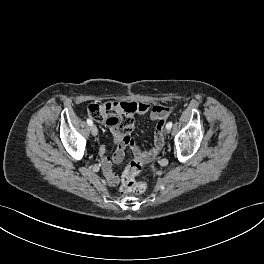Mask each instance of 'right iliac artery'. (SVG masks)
<instances>
[{"mask_svg": "<svg viewBox=\"0 0 264 264\" xmlns=\"http://www.w3.org/2000/svg\"><path fill=\"white\" fill-rule=\"evenodd\" d=\"M87 124H88L89 126L93 125L92 120H91V119H87Z\"/></svg>", "mask_w": 264, "mask_h": 264, "instance_id": "right-iliac-artery-1", "label": "right iliac artery"}]
</instances>
